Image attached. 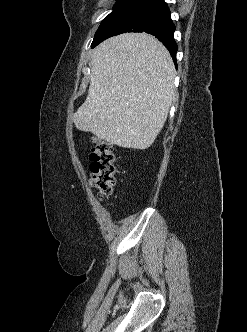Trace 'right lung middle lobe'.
<instances>
[{
  "mask_svg": "<svg viewBox=\"0 0 247 332\" xmlns=\"http://www.w3.org/2000/svg\"><path fill=\"white\" fill-rule=\"evenodd\" d=\"M145 0H117L116 4L114 5L113 11L103 19L100 24V27L96 31L94 40L92 42V47H94L101 34L114 22H116L121 17L125 16L126 14L130 13L131 11L137 9L138 7L146 4Z\"/></svg>",
  "mask_w": 247,
  "mask_h": 332,
  "instance_id": "1",
  "label": "right lung middle lobe"
}]
</instances>
